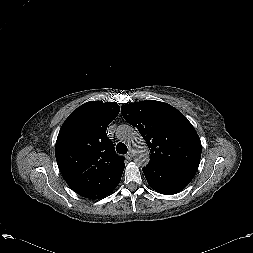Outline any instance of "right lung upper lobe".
Here are the masks:
<instances>
[{"mask_svg":"<svg viewBox=\"0 0 253 253\" xmlns=\"http://www.w3.org/2000/svg\"><path fill=\"white\" fill-rule=\"evenodd\" d=\"M120 111L116 103L87 102L63 123L55 146L58 167L79 195L96 199L118 184L125 167L107 137L108 125Z\"/></svg>","mask_w":253,"mask_h":253,"instance_id":"1","label":"right lung upper lobe"}]
</instances>
